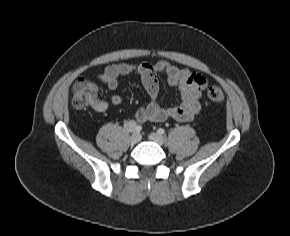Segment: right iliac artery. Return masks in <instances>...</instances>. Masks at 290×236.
<instances>
[{
    "mask_svg": "<svg viewBox=\"0 0 290 236\" xmlns=\"http://www.w3.org/2000/svg\"><path fill=\"white\" fill-rule=\"evenodd\" d=\"M142 130V127L140 125H137V127L135 128L136 132H140Z\"/></svg>",
    "mask_w": 290,
    "mask_h": 236,
    "instance_id": "right-iliac-artery-1",
    "label": "right iliac artery"
}]
</instances>
